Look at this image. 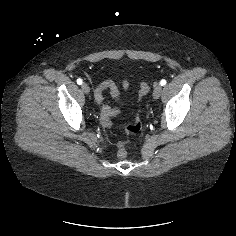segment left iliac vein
<instances>
[{
    "label": "left iliac vein",
    "mask_w": 236,
    "mask_h": 236,
    "mask_svg": "<svg viewBox=\"0 0 236 236\" xmlns=\"http://www.w3.org/2000/svg\"><path fill=\"white\" fill-rule=\"evenodd\" d=\"M163 88L160 84H156L153 90V98L158 99L162 94Z\"/></svg>",
    "instance_id": "4c4485c4"
}]
</instances>
